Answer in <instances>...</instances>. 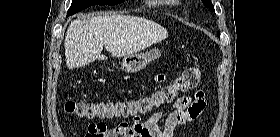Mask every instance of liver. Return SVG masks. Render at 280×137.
<instances>
[{
	"label": "liver",
	"instance_id": "1",
	"mask_svg": "<svg viewBox=\"0 0 280 137\" xmlns=\"http://www.w3.org/2000/svg\"><path fill=\"white\" fill-rule=\"evenodd\" d=\"M168 37L158 23L128 15H99L73 20L67 30L64 47L69 69L83 67L101 55L103 47L114 57L137 53Z\"/></svg>",
	"mask_w": 280,
	"mask_h": 137
}]
</instances>
